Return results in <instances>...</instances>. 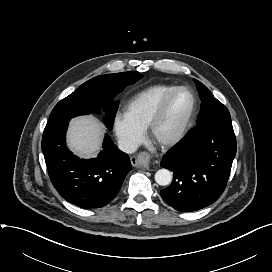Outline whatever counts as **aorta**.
I'll use <instances>...</instances> for the list:
<instances>
[{"label": "aorta", "mask_w": 272, "mask_h": 272, "mask_svg": "<svg viewBox=\"0 0 272 272\" xmlns=\"http://www.w3.org/2000/svg\"><path fill=\"white\" fill-rule=\"evenodd\" d=\"M155 181L161 186H166L172 181V174L167 169H160L155 173Z\"/></svg>", "instance_id": "762f6f07"}]
</instances>
